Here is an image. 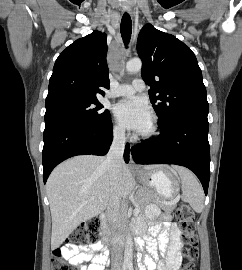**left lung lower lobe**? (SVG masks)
Masks as SVG:
<instances>
[{
	"label": "left lung lower lobe",
	"mask_w": 242,
	"mask_h": 270,
	"mask_svg": "<svg viewBox=\"0 0 242 270\" xmlns=\"http://www.w3.org/2000/svg\"><path fill=\"white\" fill-rule=\"evenodd\" d=\"M159 128L158 138L147 139L131 148L135 163L185 166L196 174L207 195L210 179L207 115L180 116Z\"/></svg>",
	"instance_id": "left-lung-lower-lobe-1"
}]
</instances>
